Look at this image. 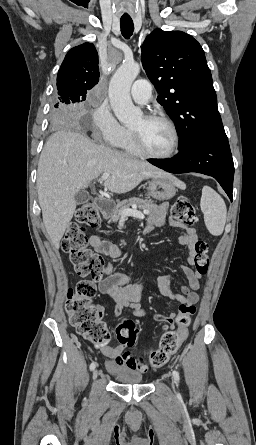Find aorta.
<instances>
[{
	"mask_svg": "<svg viewBox=\"0 0 256 445\" xmlns=\"http://www.w3.org/2000/svg\"><path fill=\"white\" fill-rule=\"evenodd\" d=\"M140 72V66L135 62H124L115 72L109 84V99L117 119L124 124L136 121L141 110L133 105L130 88Z\"/></svg>",
	"mask_w": 256,
	"mask_h": 445,
	"instance_id": "aorta-1",
	"label": "aorta"
}]
</instances>
